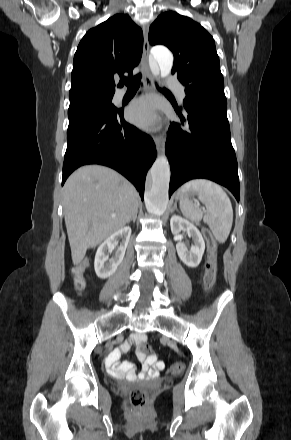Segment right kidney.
<instances>
[{"label": "right kidney", "instance_id": "1", "mask_svg": "<svg viewBox=\"0 0 291 440\" xmlns=\"http://www.w3.org/2000/svg\"><path fill=\"white\" fill-rule=\"evenodd\" d=\"M131 236V228L129 226L123 227L109 236L97 249L94 261V269L99 278L105 279L110 277L122 262L125 251ZM121 244L117 249L115 255L109 258L118 241Z\"/></svg>", "mask_w": 291, "mask_h": 440}]
</instances>
